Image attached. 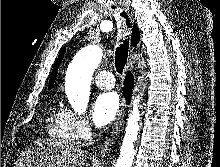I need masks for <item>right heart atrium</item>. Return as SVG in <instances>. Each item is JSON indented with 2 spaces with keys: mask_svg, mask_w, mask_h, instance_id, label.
<instances>
[{
  "mask_svg": "<svg viewBox=\"0 0 220 167\" xmlns=\"http://www.w3.org/2000/svg\"><path fill=\"white\" fill-rule=\"evenodd\" d=\"M75 140H86L91 134V125L87 117L72 110H64Z\"/></svg>",
  "mask_w": 220,
  "mask_h": 167,
  "instance_id": "obj_1",
  "label": "right heart atrium"
}]
</instances>
